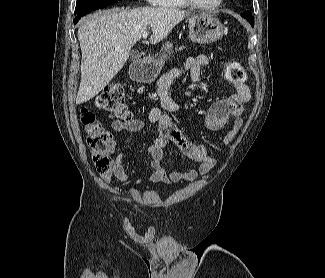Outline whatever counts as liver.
Returning <instances> with one entry per match:
<instances>
[{
  "mask_svg": "<svg viewBox=\"0 0 325 278\" xmlns=\"http://www.w3.org/2000/svg\"><path fill=\"white\" fill-rule=\"evenodd\" d=\"M187 11L164 7L113 9L89 16L78 29L81 82L76 104L99 94L122 69L143 31L152 29L151 44L165 39Z\"/></svg>",
  "mask_w": 325,
  "mask_h": 278,
  "instance_id": "liver-1",
  "label": "liver"
}]
</instances>
